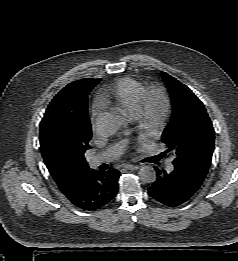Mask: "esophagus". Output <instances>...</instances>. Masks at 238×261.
Masks as SVG:
<instances>
[{
    "mask_svg": "<svg viewBox=\"0 0 238 261\" xmlns=\"http://www.w3.org/2000/svg\"><path fill=\"white\" fill-rule=\"evenodd\" d=\"M123 168L127 169V170H137L139 169V166L137 165H132V164H124Z\"/></svg>",
    "mask_w": 238,
    "mask_h": 261,
    "instance_id": "1",
    "label": "esophagus"
}]
</instances>
